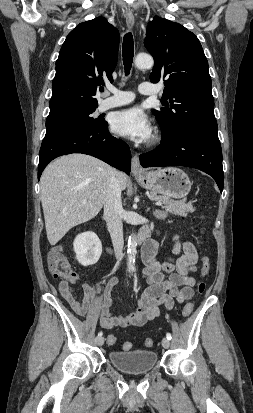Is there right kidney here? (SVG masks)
Instances as JSON below:
<instances>
[{
    "label": "right kidney",
    "mask_w": 253,
    "mask_h": 413,
    "mask_svg": "<svg viewBox=\"0 0 253 413\" xmlns=\"http://www.w3.org/2000/svg\"><path fill=\"white\" fill-rule=\"evenodd\" d=\"M77 261L83 266L94 265L102 253V244L94 232L79 234L73 242Z\"/></svg>",
    "instance_id": "obj_1"
}]
</instances>
